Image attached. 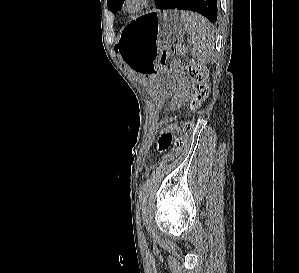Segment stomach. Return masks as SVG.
Here are the masks:
<instances>
[{"instance_id":"obj_1","label":"stomach","mask_w":299,"mask_h":273,"mask_svg":"<svg viewBox=\"0 0 299 273\" xmlns=\"http://www.w3.org/2000/svg\"><path fill=\"white\" fill-rule=\"evenodd\" d=\"M186 26L177 10L152 11L124 26L117 40L116 51L132 71L148 75L154 96L164 97L172 85L168 69L161 68L163 43L182 38Z\"/></svg>"}]
</instances>
